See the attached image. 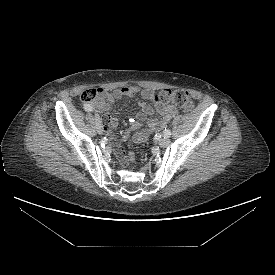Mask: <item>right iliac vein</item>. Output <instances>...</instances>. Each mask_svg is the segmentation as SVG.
<instances>
[{"instance_id":"63e3f726","label":"right iliac vein","mask_w":275,"mask_h":275,"mask_svg":"<svg viewBox=\"0 0 275 275\" xmlns=\"http://www.w3.org/2000/svg\"><path fill=\"white\" fill-rule=\"evenodd\" d=\"M95 124H96V129L99 134H102L103 128H102V120L100 116H95Z\"/></svg>"}]
</instances>
